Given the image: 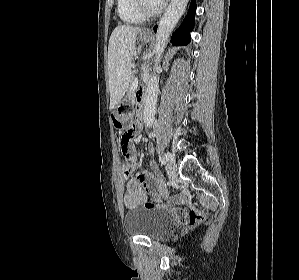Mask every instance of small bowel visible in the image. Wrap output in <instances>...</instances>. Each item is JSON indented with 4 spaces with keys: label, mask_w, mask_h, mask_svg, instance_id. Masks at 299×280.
I'll return each instance as SVG.
<instances>
[{
    "label": "small bowel",
    "mask_w": 299,
    "mask_h": 280,
    "mask_svg": "<svg viewBox=\"0 0 299 280\" xmlns=\"http://www.w3.org/2000/svg\"><path fill=\"white\" fill-rule=\"evenodd\" d=\"M142 119L138 115L135 122L129 127L133 129L134 135L141 129ZM149 152L153 153V147L149 148ZM132 155L135 157V151L132 147ZM153 173L147 171H141L136 176L130 177L126 180V192L123 196V202L126 208L134 209L140 205H145L149 202L148 198L160 202L168 200L170 202H176L178 197H169L168 190L165 182L161 176V173L155 162L151 163Z\"/></svg>",
    "instance_id": "small-bowel-1"
}]
</instances>
